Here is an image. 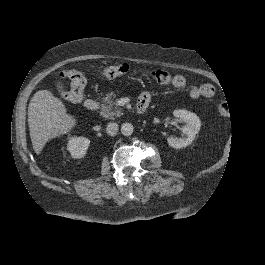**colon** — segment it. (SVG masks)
Here are the masks:
<instances>
[{"instance_id":"1","label":"colon","mask_w":265,"mask_h":265,"mask_svg":"<svg viewBox=\"0 0 265 265\" xmlns=\"http://www.w3.org/2000/svg\"><path fill=\"white\" fill-rule=\"evenodd\" d=\"M129 70V66L126 63H122L104 68L102 75L107 78H114L128 73ZM145 74L161 85H166L171 81L170 73L165 70H153ZM60 75L71 83L70 89L63 91L61 97L70 102H78L86 85L85 77L76 70H64ZM218 111L220 114L226 115L228 113V105H220Z\"/></svg>"}]
</instances>
